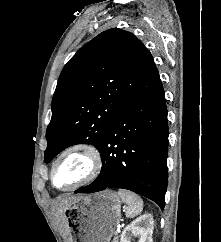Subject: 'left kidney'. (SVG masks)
<instances>
[{"label": "left kidney", "mask_w": 221, "mask_h": 242, "mask_svg": "<svg viewBox=\"0 0 221 242\" xmlns=\"http://www.w3.org/2000/svg\"><path fill=\"white\" fill-rule=\"evenodd\" d=\"M154 221L151 214H144L125 227L121 234L120 242H131L133 237H138V242H153Z\"/></svg>", "instance_id": "1"}]
</instances>
